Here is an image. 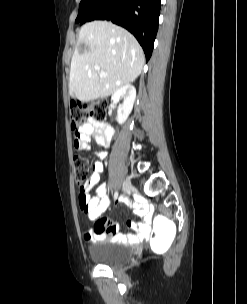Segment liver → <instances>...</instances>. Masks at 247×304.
<instances>
[{
	"label": "liver",
	"mask_w": 247,
	"mask_h": 304,
	"mask_svg": "<svg viewBox=\"0 0 247 304\" xmlns=\"http://www.w3.org/2000/svg\"><path fill=\"white\" fill-rule=\"evenodd\" d=\"M144 63L141 46L127 30L107 21L89 22L79 31L72 56L69 94L82 102L108 97L133 82ZM101 71L107 76L100 77Z\"/></svg>",
	"instance_id": "obj_1"
}]
</instances>
